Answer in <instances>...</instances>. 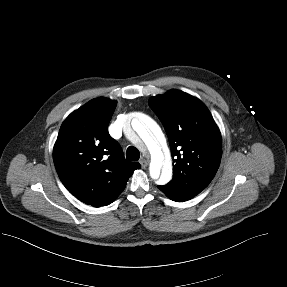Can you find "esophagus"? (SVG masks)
Masks as SVG:
<instances>
[{
    "label": "esophagus",
    "instance_id": "34e87169",
    "mask_svg": "<svg viewBox=\"0 0 287 287\" xmlns=\"http://www.w3.org/2000/svg\"><path fill=\"white\" fill-rule=\"evenodd\" d=\"M148 163H149V162H148L147 159L142 158V159L140 160V164H141L142 168H146L147 165H148Z\"/></svg>",
    "mask_w": 287,
    "mask_h": 287
}]
</instances>
